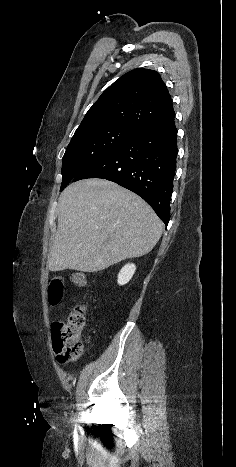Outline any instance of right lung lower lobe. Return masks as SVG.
Returning <instances> with one entry per match:
<instances>
[{
  "label": "right lung lower lobe",
  "instance_id": "98d812e1",
  "mask_svg": "<svg viewBox=\"0 0 236 467\" xmlns=\"http://www.w3.org/2000/svg\"><path fill=\"white\" fill-rule=\"evenodd\" d=\"M174 118L175 113L138 130L73 181H113L142 197L167 225L177 157Z\"/></svg>",
  "mask_w": 236,
  "mask_h": 467
}]
</instances>
